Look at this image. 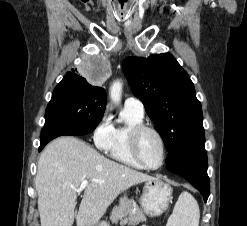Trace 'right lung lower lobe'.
Here are the masks:
<instances>
[{"label": "right lung lower lobe", "mask_w": 247, "mask_h": 226, "mask_svg": "<svg viewBox=\"0 0 247 226\" xmlns=\"http://www.w3.org/2000/svg\"><path fill=\"white\" fill-rule=\"evenodd\" d=\"M88 130H78V129H71L62 126H50L44 127L41 131V144L39 151L52 139L61 136V135H85Z\"/></svg>", "instance_id": "right-lung-lower-lobe-1"}]
</instances>
